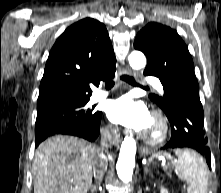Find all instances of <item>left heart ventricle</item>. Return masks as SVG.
I'll return each instance as SVG.
<instances>
[{
	"instance_id": "1",
	"label": "left heart ventricle",
	"mask_w": 221,
	"mask_h": 193,
	"mask_svg": "<svg viewBox=\"0 0 221 193\" xmlns=\"http://www.w3.org/2000/svg\"><path fill=\"white\" fill-rule=\"evenodd\" d=\"M159 124L152 116H150L147 124L142 129V131L150 136H157L159 134Z\"/></svg>"
}]
</instances>
